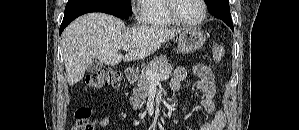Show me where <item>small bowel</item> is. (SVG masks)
Returning <instances> with one entry per match:
<instances>
[{
  "mask_svg": "<svg viewBox=\"0 0 299 130\" xmlns=\"http://www.w3.org/2000/svg\"><path fill=\"white\" fill-rule=\"evenodd\" d=\"M195 79L191 83L192 87L200 90L203 93L202 106L207 113H213L214 117L209 122L199 124L198 130H223L226 126L227 117L222 109H216L215 94L216 86L212 70L205 64H195L191 68ZM187 70L184 67L175 69L173 78L171 80V88L174 91H179L181 83L187 77ZM111 119L105 116L100 120V126L107 127Z\"/></svg>",
  "mask_w": 299,
  "mask_h": 130,
  "instance_id": "small-bowel-1",
  "label": "small bowel"
}]
</instances>
